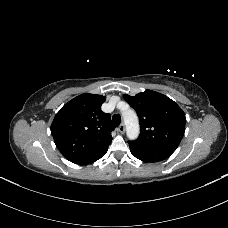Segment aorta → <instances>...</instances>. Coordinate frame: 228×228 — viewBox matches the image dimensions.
<instances>
[{
  "instance_id": "1",
  "label": "aorta",
  "mask_w": 228,
  "mask_h": 228,
  "mask_svg": "<svg viewBox=\"0 0 228 228\" xmlns=\"http://www.w3.org/2000/svg\"><path fill=\"white\" fill-rule=\"evenodd\" d=\"M126 125L127 137L130 140H135L139 135V122L137 114L133 110H126L122 114Z\"/></svg>"
}]
</instances>
